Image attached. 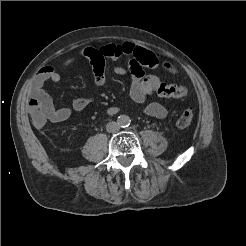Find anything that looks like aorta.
I'll return each instance as SVG.
<instances>
[{
    "mask_svg": "<svg viewBox=\"0 0 246 246\" xmlns=\"http://www.w3.org/2000/svg\"><path fill=\"white\" fill-rule=\"evenodd\" d=\"M130 123V120L127 116H121L119 118V124L122 125V126H127L128 124Z\"/></svg>",
    "mask_w": 246,
    "mask_h": 246,
    "instance_id": "aorta-1",
    "label": "aorta"
}]
</instances>
